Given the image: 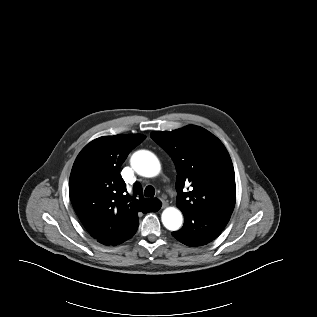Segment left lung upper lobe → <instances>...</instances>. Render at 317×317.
Returning <instances> with one entry per match:
<instances>
[{"mask_svg": "<svg viewBox=\"0 0 317 317\" xmlns=\"http://www.w3.org/2000/svg\"><path fill=\"white\" fill-rule=\"evenodd\" d=\"M151 137L175 164L177 206L184 215L211 211L231 216L236 200L234 168L217 137L195 125L156 131ZM187 185L190 188L185 192Z\"/></svg>", "mask_w": 317, "mask_h": 317, "instance_id": "obj_1", "label": "left lung upper lobe"}]
</instances>
